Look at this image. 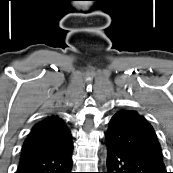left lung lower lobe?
<instances>
[{"mask_svg":"<svg viewBox=\"0 0 173 173\" xmlns=\"http://www.w3.org/2000/svg\"><path fill=\"white\" fill-rule=\"evenodd\" d=\"M106 173H167L163 162L108 145Z\"/></svg>","mask_w":173,"mask_h":173,"instance_id":"left-lung-lower-lobe-1","label":"left lung lower lobe"}]
</instances>
